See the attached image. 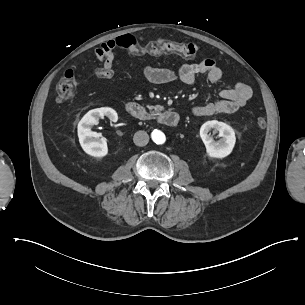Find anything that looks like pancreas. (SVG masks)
I'll use <instances>...</instances> for the list:
<instances>
[{
    "mask_svg": "<svg viewBox=\"0 0 305 305\" xmlns=\"http://www.w3.org/2000/svg\"><path fill=\"white\" fill-rule=\"evenodd\" d=\"M149 119L151 118V119H155V115H151V116H149L148 117Z\"/></svg>",
    "mask_w": 305,
    "mask_h": 305,
    "instance_id": "obj_1",
    "label": "pancreas"
}]
</instances>
